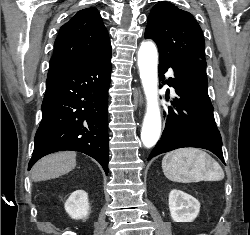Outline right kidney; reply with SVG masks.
Returning <instances> with one entry per match:
<instances>
[{
    "instance_id": "1",
    "label": "right kidney",
    "mask_w": 250,
    "mask_h": 235,
    "mask_svg": "<svg viewBox=\"0 0 250 235\" xmlns=\"http://www.w3.org/2000/svg\"><path fill=\"white\" fill-rule=\"evenodd\" d=\"M65 210L72 219H83L89 214L88 195L84 190L74 191L65 202Z\"/></svg>"
}]
</instances>
